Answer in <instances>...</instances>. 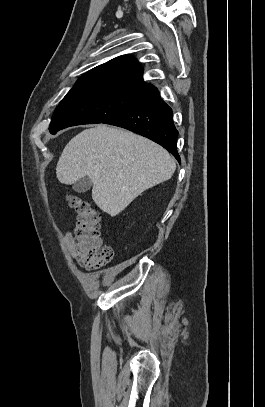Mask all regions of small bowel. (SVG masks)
<instances>
[{
  "label": "small bowel",
  "instance_id": "c3829d8e",
  "mask_svg": "<svg viewBox=\"0 0 265 407\" xmlns=\"http://www.w3.org/2000/svg\"><path fill=\"white\" fill-rule=\"evenodd\" d=\"M65 243L68 249L69 254L73 259L76 258V252H75V245H74V237L71 232H67L65 235Z\"/></svg>",
  "mask_w": 265,
  "mask_h": 407
}]
</instances>
